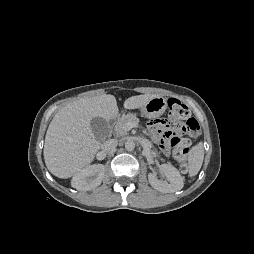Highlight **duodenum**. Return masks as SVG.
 Instances as JSON below:
<instances>
[{
  "mask_svg": "<svg viewBox=\"0 0 254 254\" xmlns=\"http://www.w3.org/2000/svg\"><path fill=\"white\" fill-rule=\"evenodd\" d=\"M110 129V125L108 126V130Z\"/></svg>",
  "mask_w": 254,
  "mask_h": 254,
  "instance_id": "obj_1",
  "label": "duodenum"
}]
</instances>
